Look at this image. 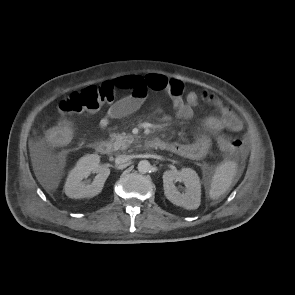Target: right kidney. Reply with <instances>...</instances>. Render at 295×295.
I'll list each match as a JSON object with an SVG mask.
<instances>
[{"label":"right kidney","instance_id":"right-kidney-1","mask_svg":"<svg viewBox=\"0 0 295 295\" xmlns=\"http://www.w3.org/2000/svg\"><path fill=\"white\" fill-rule=\"evenodd\" d=\"M91 173H96L93 182L83 181ZM110 174V169L100 165V156L88 154L83 156L71 170L65 183V194L70 198L80 199L99 194Z\"/></svg>","mask_w":295,"mask_h":295}]
</instances>
